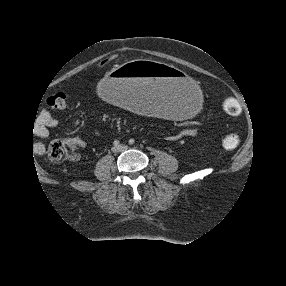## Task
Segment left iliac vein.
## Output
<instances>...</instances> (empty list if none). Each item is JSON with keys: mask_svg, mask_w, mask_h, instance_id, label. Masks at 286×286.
I'll list each match as a JSON object with an SVG mask.
<instances>
[{"mask_svg": "<svg viewBox=\"0 0 286 286\" xmlns=\"http://www.w3.org/2000/svg\"><path fill=\"white\" fill-rule=\"evenodd\" d=\"M127 148L128 147L126 145L119 146L120 151H125V150H127Z\"/></svg>", "mask_w": 286, "mask_h": 286, "instance_id": "left-iliac-vein-1", "label": "left iliac vein"}]
</instances>
